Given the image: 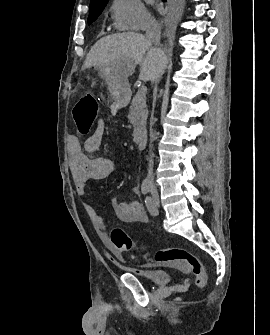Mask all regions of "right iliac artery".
I'll use <instances>...</instances> for the list:
<instances>
[{
  "label": "right iliac artery",
  "mask_w": 270,
  "mask_h": 335,
  "mask_svg": "<svg viewBox=\"0 0 270 335\" xmlns=\"http://www.w3.org/2000/svg\"><path fill=\"white\" fill-rule=\"evenodd\" d=\"M141 191L143 194H147L149 192V181L144 180L141 185Z\"/></svg>",
  "instance_id": "right-iliac-artery-1"
}]
</instances>
